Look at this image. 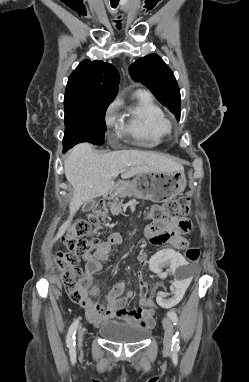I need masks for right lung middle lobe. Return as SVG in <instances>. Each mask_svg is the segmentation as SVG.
<instances>
[{"label": "right lung middle lobe", "mask_w": 249, "mask_h": 382, "mask_svg": "<svg viewBox=\"0 0 249 382\" xmlns=\"http://www.w3.org/2000/svg\"><path fill=\"white\" fill-rule=\"evenodd\" d=\"M110 101L99 100L65 109L63 150L81 142L104 143V116Z\"/></svg>", "instance_id": "obj_1"}]
</instances>
